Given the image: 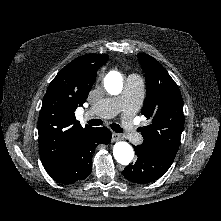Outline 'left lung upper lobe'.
Masks as SVG:
<instances>
[{
  "label": "left lung upper lobe",
  "mask_w": 221,
  "mask_h": 221,
  "mask_svg": "<svg viewBox=\"0 0 221 221\" xmlns=\"http://www.w3.org/2000/svg\"><path fill=\"white\" fill-rule=\"evenodd\" d=\"M145 73L146 99L142 114L150 120L141 128L143 146L149 150L178 151L184 127L183 100L177 84L153 57L139 53Z\"/></svg>",
  "instance_id": "1"
}]
</instances>
